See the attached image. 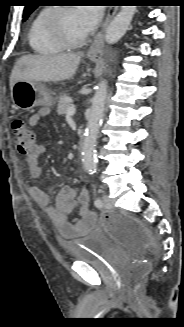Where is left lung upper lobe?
Returning <instances> with one entry per match:
<instances>
[{"mask_svg": "<svg viewBox=\"0 0 184 327\" xmlns=\"http://www.w3.org/2000/svg\"><path fill=\"white\" fill-rule=\"evenodd\" d=\"M27 5L24 8L23 21L37 8L36 0H27Z\"/></svg>", "mask_w": 184, "mask_h": 327, "instance_id": "obj_1", "label": "left lung upper lobe"}]
</instances>
